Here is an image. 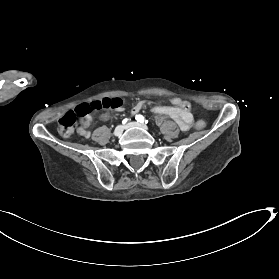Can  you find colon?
Listing matches in <instances>:
<instances>
[{
  "instance_id": "colon-1",
  "label": "colon",
  "mask_w": 279,
  "mask_h": 279,
  "mask_svg": "<svg viewBox=\"0 0 279 279\" xmlns=\"http://www.w3.org/2000/svg\"><path fill=\"white\" fill-rule=\"evenodd\" d=\"M181 106L189 113H194L197 110V105L194 101L187 99H180ZM123 105L121 98H104L101 100H95L88 103H83L77 106L75 109L65 113L58 121V130L64 137H70L74 134L79 119L87 117L93 110L101 109H117ZM195 127L198 130H202L206 127V122L199 119L195 123Z\"/></svg>"
}]
</instances>
